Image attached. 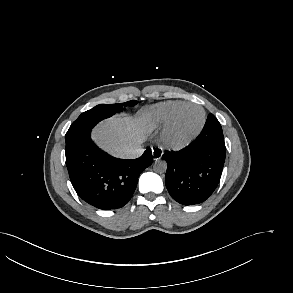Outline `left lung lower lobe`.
Listing matches in <instances>:
<instances>
[{"label": "left lung lower lobe", "instance_id": "obj_1", "mask_svg": "<svg viewBox=\"0 0 293 293\" xmlns=\"http://www.w3.org/2000/svg\"><path fill=\"white\" fill-rule=\"evenodd\" d=\"M226 156L221 125L207 118L199 136L187 147L166 153V187L174 200L183 205L205 201L216 189Z\"/></svg>", "mask_w": 293, "mask_h": 293}]
</instances>
